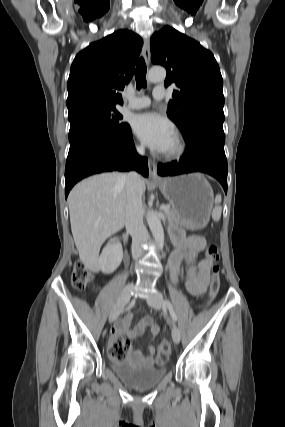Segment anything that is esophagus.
I'll return each instance as SVG.
<instances>
[{"mask_svg": "<svg viewBox=\"0 0 285 427\" xmlns=\"http://www.w3.org/2000/svg\"><path fill=\"white\" fill-rule=\"evenodd\" d=\"M143 56H144L146 64L149 65L151 54H150V44H149V40L147 38L144 39ZM148 165H149V178H150V180H153V181L160 180V178L156 174V170H157L156 163L153 160L149 159Z\"/></svg>", "mask_w": 285, "mask_h": 427, "instance_id": "esophagus-1", "label": "esophagus"}]
</instances>
